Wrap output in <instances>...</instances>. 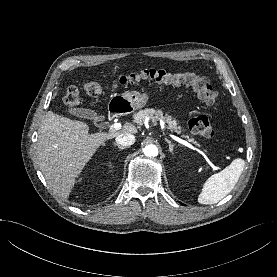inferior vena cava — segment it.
Masks as SVG:
<instances>
[{
    "label": "inferior vena cava",
    "instance_id": "obj_1",
    "mask_svg": "<svg viewBox=\"0 0 277 277\" xmlns=\"http://www.w3.org/2000/svg\"><path fill=\"white\" fill-rule=\"evenodd\" d=\"M117 144L121 146H131L135 143V136L133 134H124L116 137Z\"/></svg>",
    "mask_w": 277,
    "mask_h": 277
}]
</instances>
